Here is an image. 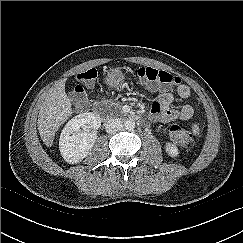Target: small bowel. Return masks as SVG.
<instances>
[{
    "mask_svg": "<svg viewBox=\"0 0 243 243\" xmlns=\"http://www.w3.org/2000/svg\"><path fill=\"white\" fill-rule=\"evenodd\" d=\"M150 91H157L158 89L153 86H148ZM177 94L181 99H186L190 96V89L187 85H180L177 88ZM173 95L168 91H161L156 100L152 105V114L153 116L162 121L170 122L174 120H189L194 113V109L190 105H184L180 108H173Z\"/></svg>",
    "mask_w": 243,
    "mask_h": 243,
    "instance_id": "obj_1",
    "label": "small bowel"
}]
</instances>
